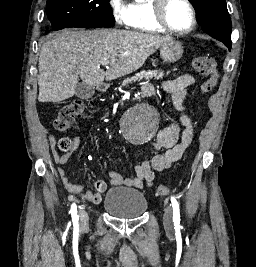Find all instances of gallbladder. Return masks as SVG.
<instances>
[{"label":"gallbladder","instance_id":"bac80fb5","mask_svg":"<svg viewBox=\"0 0 256 267\" xmlns=\"http://www.w3.org/2000/svg\"><path fill=\"white\" fill-rule=\"evenodd\" d=\"M77 98H81V100H88V98H92L95 94L94 86H89V84H85V82H81V84H77L76 92Z\"/></svg>","mask_w":256,"mask_h":267}]
</instances>
